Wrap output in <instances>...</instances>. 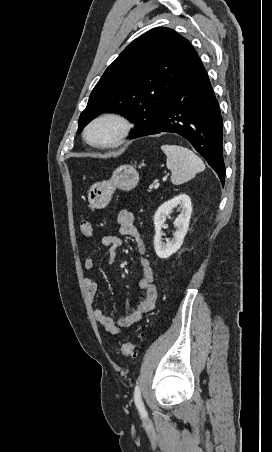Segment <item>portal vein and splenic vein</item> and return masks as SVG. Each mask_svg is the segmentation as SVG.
Instances as JSON below:
<instances>
[{
  "instance_id": "portal-vein-and-splenic-vein-1",
  "label": "portal vein and splenic vein",
  "mask_w": 272,
  "mask_h": 452,
  "mask_svg": "<svg viewBox=\"0 0 272 452\" xmlns=\"http://www.w3.org/2000/svg\"><path fill=\"white\" fill-rule=\"evenodd\" d=\"M158 187H159V183L156 182L155 185H154V188L157 189Z\"/></svg>"
}]
</instances>
